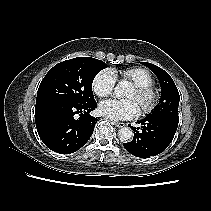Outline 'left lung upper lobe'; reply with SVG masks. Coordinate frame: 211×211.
Here are the masks:
<instances>
[{"instance_id":"1","label":"left lung upper lobe","mask_w":211,"mask_h":211,"mask_svg":"<svg viewBox=\"0 0 211 211\" xmlns=\"http://www.w3.org/2000/svg\"><path fill=\"white\" fill-rule=\"evenodd\" d=\"M141 63L153 71L161 85L160 104L148 117L162 118L174 124H178V106L180 96L173 79L160 67L147 62Z\"/></svg>"}]
</instances>
